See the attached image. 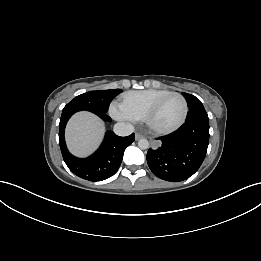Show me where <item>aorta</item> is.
I'll use <instances>...</instances> for the list:
<instances>
[{
  "label": "aorta",
  "instance_id": "1",
  "mask_svg": "<svg viewBox=\"0 0 261 261\" xmlns=\"http://www.w3.org/2000/svg\"><path fill=\"white\" fill-rule=\"evenodd\" d=\"M138 146H139V148H141V149H147V148L149 147V142H148V140H146V139H140V140L138 141Z\"/></svg>",
  "mask_w": 261,
  "mask_h": 261
}]
</instances>
